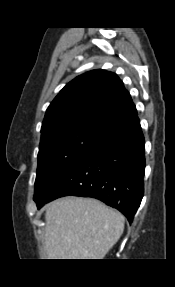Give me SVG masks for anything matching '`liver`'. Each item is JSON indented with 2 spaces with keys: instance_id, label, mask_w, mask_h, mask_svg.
Returning a JSON list of instances; mask_svg holds the SVG:
<instances>
[{
  "instance_id": "1",
  "label": "liver",
  "mask_w": 175,
  "mask_h": 287,
  "mask_svg": "<svg viewBox=\"0 0 175 287\" xmlns=\"http://www.w3.org/2000/svg\"><path fill=\"white\" fill-rule=\"evenodd\" d=\"M48 259H103L124 230V216L90 198L66 197L46 206Z\"/></svg>"
}]
</instances>
